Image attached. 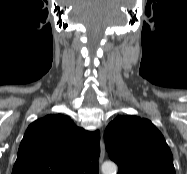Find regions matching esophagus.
<instances>
[{
    "label": "esophagus",
    "instance_id": "obj_1",
    "mask_svg": "<svg viewBox=\"0 0 187 174\" xmlns=\"http://www.w3.org/2000/svg\"><path fill=\"white\" fill-rule=\"evenodd\" d=\"M105 156V143L103 136L100 138V156H99V161L102 162Z\"/></svg>",
    "mask_w": 187,
    "mask_h": 174
}]
</instances>
